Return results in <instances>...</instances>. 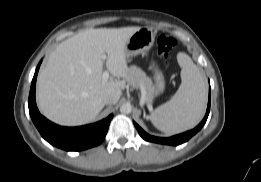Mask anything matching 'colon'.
I'll list each match as a JSON object with an SVG mask.
<instances>
[{
    "label": "colon",
    "mask_w": 261,
    "mask_h": 182,
    "mask_svg": "<svg viewBox=\"0 0 261 182\" xmlns=\"http://www.w3.org/2000/svg\"><path fill=\"white\" fill-rule=\"evenodd\" d=\"M175 45L176 41L172 37L165 34L159 35L157 39V51L159 57L162 60H167Z\"/></svg>",
    "instance_id": "1"
}]
</instances>
